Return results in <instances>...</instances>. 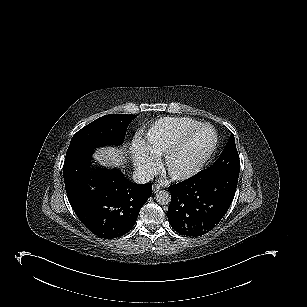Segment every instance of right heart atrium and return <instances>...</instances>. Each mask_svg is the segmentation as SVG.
Returning <instances> with one entry per match:
<instances>
[{"label": "right heart atrium", "instance_id": "1", "mask_svg": "<svg viewBox=\"0 0 307 307\" xmlns=\"http://www.w3.org/2000/svg\"><path fill=\"white\" fill-rule=\"evenodd\" d=\"M142 161H143V163H145V158H143V160H142ZM148 162H149V161H148ZM148 162H147V164H149Z\"/></svg>", "mask_w": 307, "mask_h": 307}]
</instances>
